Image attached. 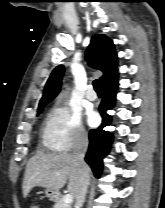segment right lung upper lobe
<instances>
[{
    "mask_svg": "<svg viewBox=\"0 0 165 208\" xmlns=\"http://www.w3.org/2000/svg\"><path fill=\"white\" fill-rule=\"evenodd\" d=\"M117 59L114 44L108 37L103 34H96L92 37L86 51V61L91 67L103 72V76L100 78L102 85L117 76ZM64 71L63 65L57 66L52 71L40 99L38 110H42L48 102L56 97L60 91Z\"/></svg>",
    "mask_w": 165,
    "mask_h": 208,
    "instance_id": "obj_1",
    "label": "right lung upper lobe"
}]
</instances>
